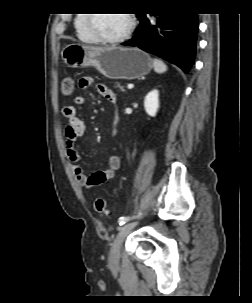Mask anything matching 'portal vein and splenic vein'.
I'll return each mask as SVG.
<instances>
[{
    "label": "portal vein and splenic vein",
    "mask_w": 252,
    "mask_h": 303,
    "mask_svg": "<svg viewBox=\"0 0 252 303\" xmlns=\"http://www.w3.org/2000/svg\"><path fill=\"white\" fill-rule=\"evenodd\" d=\"M133 87H134L133 84H129V85L127 86L128 89H132Z\"/></svg>",
    "instance_id": "1"
}]
</instances>
